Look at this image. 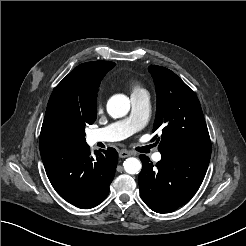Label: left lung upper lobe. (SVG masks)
<instances>
[{"label": "left lung upper lobe", "mask_w": 246, "mask_h": 246, "mask_svg": "<svg viewBox=\"0 0 246 246\" xmlns=\"http://www.w3.org/2000/svg\"><path fill=\"white\" fill-rule=\"evenodd\" d=\"M157 92L153 131L162 129L158 150L211 154V141L196 94L171 70L150 65Z\"/></svg>", "instance_id": "left-lung-upper-lobe-1"}]
</instances>
